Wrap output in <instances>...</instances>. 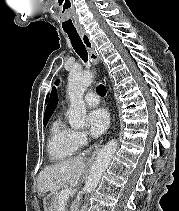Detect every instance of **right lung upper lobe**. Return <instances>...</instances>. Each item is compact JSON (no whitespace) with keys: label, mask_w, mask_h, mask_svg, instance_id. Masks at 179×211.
I'll list each match as a JSON object with an SVG mask.
<instances>
[{"label":"right lung upper lobe","mask_w":179,"mask_h":211,"mask_svg":"<svg viewBox=\"0 0 179 211\" xmlns=\"http://www.w3.org/2000/svg\"><path fill=\"white\" fill-rule=\"evenodd\" d=\"M57 103H58V96H57L56 90L53 89L51 97H50L48 105H47V108H46V111H45L44 118L51 117L52 113L54 112V110L57 106Z\"/></svg>","instance_id":"obj_1"}]
</instances>
